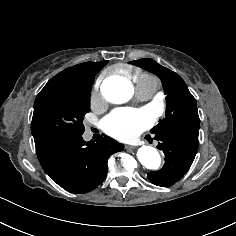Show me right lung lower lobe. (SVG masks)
Returning a JSON list of instances; mask_svg holds the SVG:
<instances>
[{
	"label": "right lung lower lobe",
	"mask_w": 236,
	"mask_h": 236,
	"mask_svg": "<svg viewBox=\"0 0 236 236\" xmlns=\"http://www.w3.org/2000/svg\"><path fill=\"white\" fill-rule=\"evenodd\" d=\"M102 134L85 142L81 135H53L35 141L44 171L59 186L82 194L95 189L107 175L108 158L124 145Z\"/></svg>",
	"instance_id": "obj_1"
}]
</instances>
